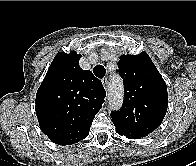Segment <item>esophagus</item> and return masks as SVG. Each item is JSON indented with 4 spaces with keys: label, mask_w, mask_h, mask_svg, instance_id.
Here are the masks:
<instances>
[{
    "label": "esophagus",
    "mask_w": 196,
    "mask_h": 166,
    "mask_svg": "<svg viewBox=\"0 0 196 166\" xmlns=\"http://www.w3.org/2000/svg\"><path fill=\"white\" fill-rule=\"evenodd\" d=\"M102 84H103L104 88L107 89V87H108V79H107V77H104L102 79Z\"/></svg>",
    "instance_id": "34e87169"
}]
</instances>
